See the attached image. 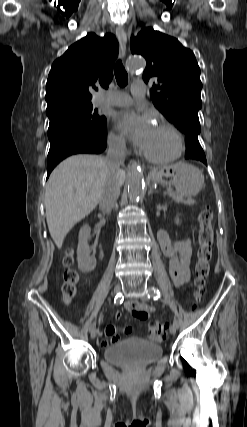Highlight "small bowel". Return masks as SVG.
Masks as SVG:
<instances>
[{"label": "small bowel", "instance_id": "small-bowel-1", "mask_svg": "<svg viewBox=\"0 0 247 427\" xmlns=\"http://www.w3.org/2000/svg\"><path fill=\"white\" fill-rule=\"evenodd\" d=\"M157 239L163 254L168 258L169 271L172 281L175 286H181L190 279V264L193 253L190 239H183L177 241H171L168 234L164 230H159ZM125 309L136 319L146 320L150 313L155 309L154 307L147 306L146 304L139 303L137 301L129 300L124 304ZM122 313L117 311L115 313L116 319H121ZM132 328L126 326L124 332L126 334L131 333ZM105 335L110 339L112 343H118L120 341L117 329L113 325H108L105 329ZM104 338L101 340V345L106 346L108 339ZM152 340L158 342L160 339L150 337Z\"/></svg>", "mask_w": 247, "mask_h": 427}]
</instances>
